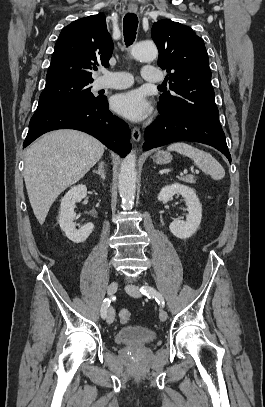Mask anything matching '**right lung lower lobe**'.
<instances>
[{
  "instance_id": "1",
  "label": "right lung lower lobe",
  "mask_w": 265,
  "mask_h": 407,
  "mask_svg": "<svg viewBox=\"0 0 265 407\" xmlns=\"http://www.w3.org/2000/svg\"><path fill=\"white\" fill-rule=\"evenodd\" d=\"M56 129H76L86 132L124 157L131 149L128 125L112 115L106 97L91 103L72 105L34 114L23 147L42 134Z\"/></svg>"
}]
</instances>
